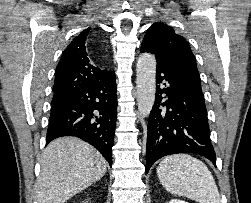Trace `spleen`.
Segmentation results:
<instances>
[{
  "label": "spleen",
  "instance_id": "3e777b00",
  "mask_svg": "<svg viewBox=\"0 0 251 203\" xmlns=\"http://www.w3.org/2000/svg\"><path fill=\"white\" fill-rule=\"evenodd\" d=\"M157 176L170 193L199 203H220L215 180L208 167L189 154L165 157L157 167Z\"/></svg>",
  "mask_w": 251,
  "mask_h": 203
}]
</instances>
